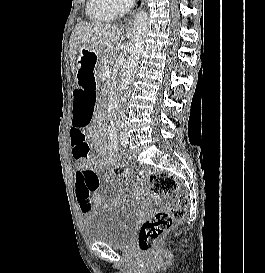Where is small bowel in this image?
Instances as JSON below:
<instances>
[{"instance_id": "c3829d8e", "label": "small bowel", "mask_w": 265, "mask_h": 273, "mask_svg": "<svg viewBox=\"0 0 265 273\" xmlns=\"http://www.w3.org/2000/svg\"><path fill=\"white\" fill-rule=\"evenodd\" d=\"M95 91H76L73 94L75 114L72 119L70 131V143L72 158L77 167L76 171V199L81 213L86 214L93 208L100 207L103 202V196L96 192L99 191V178H101V170L98 169L104 165V162H96L92 165L94 158L90 151V143L87 138L89 129L88 122L93 115V102L97 101ZM102 154L111 159L112 154L108 147L102 145L100 147ZM124 185L127 184L123 180ZM89 191V192H88ZM135 192V190H132ZM122 203L123 198L118 197L111 202Z\"/></svg>"}]
</instances>
